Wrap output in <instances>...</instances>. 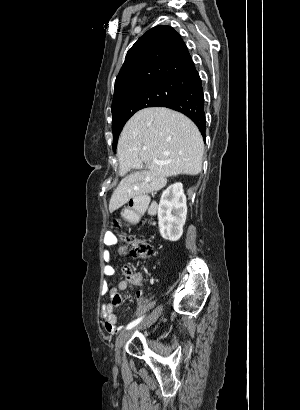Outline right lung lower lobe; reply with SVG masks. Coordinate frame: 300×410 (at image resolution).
Instances as JSON below:
<instances>
[{
  "label": "right lung lower lobe",
  "instance_id": "98d812e1",
  "mask_svg": "<svg viewBox=\"0 0 300 410\" xmlns=\"http://www.w3.org/2000/svg\"><path fill=\"white\" fill-rule=\"evenodd\" d=\"M161 106L171 108L188 116L205 137V112L202 82L198 72L187 82L185 87L170 101Z\"/></svg>",
  "mask_w": 300,
  "mask_h": 410
}]
</instances>
